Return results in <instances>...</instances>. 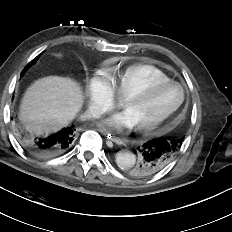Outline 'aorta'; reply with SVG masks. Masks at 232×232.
I'll use <instances>...</instances> for the list:
<instances>
[{
	"mask_svg": "<svg viewBox=\"0 0 232 232\" xmlns=\"http://www.w3.org/2000/svg\"><path fill=\"white\" fill-rule=\"evenodd\" d=\"M116 163L121 169H129L136 163V156L134 153L122 150L116 154Z\"/></svg>",
	"mask_w": 232,
	"mask_h": 232,
	"instance_id": "aorta-1",
	"label": "aorta"
}]
</instances>
